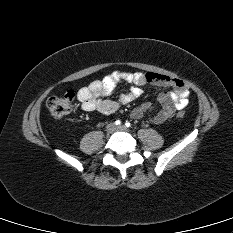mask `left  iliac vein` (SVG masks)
I'll return each instance as SVG.
<instances>
[{"mask_svg": "<svg viewBox=\"0 0 233 233\" xmlns=\"http://www.w3.org/2000/svg\"><path fill=\"white\" fill-rule=\"evenodd\" d=\"M118 131H127V128L124 125H120L116 128Z\"/></svg>", "mask_w": 233, "mask_h": 233, "instance_id": "obj_1", "label": "left iliac vein"}]
</instances>
